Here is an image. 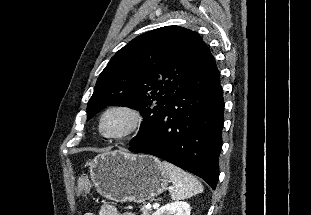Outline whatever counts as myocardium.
<instances>
[{
    "label": "myocardium",
    "mask_w": 311,
    "mask_h": 215,
    "mask_svg": "<svg viewBox=\"0 0 311 215\" xmlns=\"http://www.w3.org/2000/svg\"><path fill=\"white\" fill-rule=\"evenodd\" d=\"M114 111H121L127 113L130 116L131 120L125 130L118 133H107L103 128V121L109 113ZM142 124H143V116L138 109L127 104H114L105 108L100 114L98 120V129L100 134L104 138L111 140H122L137 133L140 130Z\"/></svg>",
    "instance_id": "obj_1"
}]
</instances>
